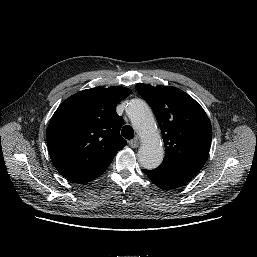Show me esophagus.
Here are the masks:
<instances>
[{
  "instance_id": "34e87169",
  "label": "esophagus",
  "mask_w": 257,
  "mask_h": 257,
  "mask_svg": "<svg viewBox=\"0 0 257 257\" xmlns=\"http://www.w3.org/2000/svg\"><path fill=\"white\" fill-rule=\"evenodd\" d=\"M129 145H130L131 148H137V147L139 146L138 139L135 138V139L131 140V141L129 142Z\"/></svg>"
}]
</instances>
